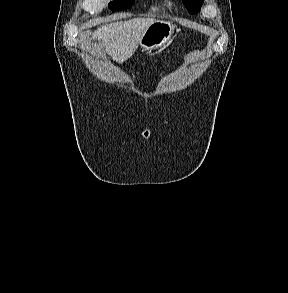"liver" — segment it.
<instances>
[{
	"label": "liver",
	"instance_id": "6515ba94",
	"mask_svg": "<svg viewBox=\"0 0 288 293\" xmlns=\"http://www.w3.org/2000/svg\"><path fill=\"white\" fill-rule=\"evenodd\" d=\"M154 21V18H134L106 24L99 27L90 40L98 41L94 45L96 50L105 51L114 61L123 63L134 54L141 37Z\"/></svg>",
	"mask_w": 288,
	"mask_h": 293
}]
</instances>
